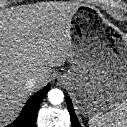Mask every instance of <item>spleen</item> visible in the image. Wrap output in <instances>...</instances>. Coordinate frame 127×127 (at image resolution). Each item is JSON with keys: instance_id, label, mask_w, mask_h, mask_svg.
Segmentation results:
<instances>
[{"instance_id": "spleen-1", "label": "spleen", "mask_w": 127, "mask_h": 127, "mask_svg": "<svg viewBox=\"0 0 127 127\" xmlns=\"http://www.w3.org/2000/svg\"><path fill=\"white\" fill-rule=\"evenodd\" d=\"M88 124L89 127H127V99L115 104L107 113L93 114Z\"/></svg>"}]
</instances>
